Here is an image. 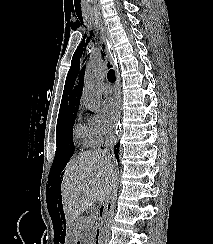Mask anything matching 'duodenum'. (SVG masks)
<instances>
[{"label": "duodenum", "mask_w": 213, "mask_h": 244, "mask_svg": "<svg viewBox=\"0 0 213 244\" xmlns=\"http://www.w3.org/2000/svg\"><path fill=\"white\" fill-rule=\"evenodd\" d=\"M100 219L103 220L104 219V216L101 214L100 215ZM102 229L99 228L95 235H94V238H93V244H102Z\"/></svg>", "instance_id": "410a0bca"}]
</instances>
